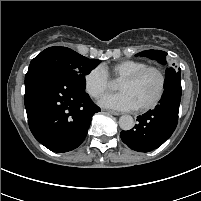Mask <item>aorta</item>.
Returning <instances> with one entry per match:
<instances>
[{"mask_svg": "<svg viewBox=\"0 0 201 201\" xmlns=\"http://www.w3.org/2000/svg\"><path fill=\"white\" fill-rule=\"evenodd\" d=\"M119 126L122 130H131L134 127L133 117L130 115H122L119 118Z\"/></svg>", "mask_w": 201, "mask_h": 201, "instance_id": "762f6f07", "label": "aorta"}]
</instances>
